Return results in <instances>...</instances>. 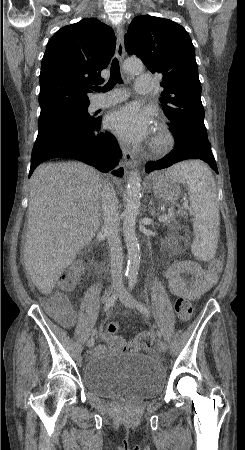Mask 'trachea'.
I'll return each instance as SVG.
<instances>
[{"instance_id":"obj_1","label":"trachea","mask_w":245,"mask_h":450,"mask_svg":"<svg viewBox=\"0 0 245 450\" xmlns=\"http://www.w3.org/2000/svg\"><path fill=\"white\" fill-rule=\"evenodd\" d=\"M110 79L104 87L95 86L96 92H105L110 90L116 83L122 82L118 59L114 58L111 64Z\"/></svg>"}]
</instances>
